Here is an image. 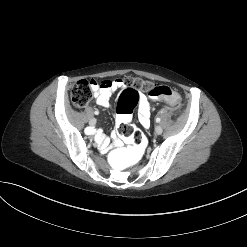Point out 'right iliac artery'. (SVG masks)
I'll return each instance as SVG.
<instances>
[{"label": "right iliac artery", "mask_w": 247, "mask_h": 247, "mask_svg": "<svg viewBox=\"0 0 247 247\" xmlns=\"http://www.w3.org/2000/svg\"><path fill=\"white\" fill-rule=\"evenodd\" d=\"M99 112L98 111H95V114H98Z\"/></svg>", "instance_id": "1"}]
</instances>
